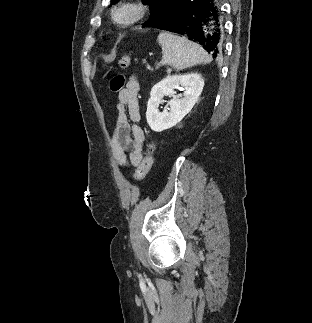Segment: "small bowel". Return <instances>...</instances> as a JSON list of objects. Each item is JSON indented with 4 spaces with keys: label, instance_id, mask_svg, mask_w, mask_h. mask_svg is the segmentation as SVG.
Masks as SVG:
<instances>
[{
    "label": "small bowel",
    "instance_id": "1",
    "mask_svg": "<svg viewBox=\"0 0 312 323\" xmlns=\"http://www.w3.org/2000/svg\"><path fill=\"white\" fill-rule=\"evenodd\" d=\"M139 90V81L132 76L117 97L118 113L114 120L111 148L114 161L124 169L137 167L144 159L145 135L140 125Z\"/></svg>",
    "mask_w": 312,
    "mask_h": 323
}]
</instances>
